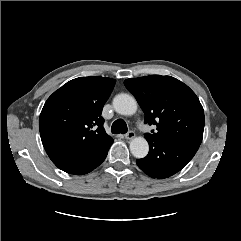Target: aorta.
<instances>
[{
    "label": "aorta",
    "instance_id": "762f6f07",
    "mask_svg": "<svg viewBox=\"0 0 241 241\" xmlns=\"http://www.w3.org/2000/svg\"><path fill=\"white\" fill-rule=\"evenodd\" d=\"M115 111L121 115H133L137 110L135 98L129 94H118L113 99ZM130 151L136 158H144L148 154L149 145L144 137H135L130 142Z\"/></svg>",
    "mask_w": 241,
    "mask_h": 241
}]
</instances>
